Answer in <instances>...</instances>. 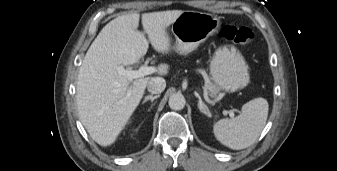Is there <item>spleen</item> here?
<instances>
[{"label":"spleen","instance_id":"1","mask_svg":"<svg viewBox=\"0 0 337 171\" xmlns=\"http://www.w3.org/2000/svg\"><path fill=\"white\" fill-rule=\"evenodd\" d=\"M269 105L264 98H255L242 106L239 116L216 122L213 132L216 139L233 150L251 146L260 136L268 117Z\"/></svg>","mask_w":337,"mask_h":171}]
</instances>
